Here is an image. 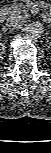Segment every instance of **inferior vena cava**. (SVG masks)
Returning <instances> with one entry per match:
<instances>
[{
    "label": "inferior vena cava",
    "mask_w": 51,
    "mask_h": 153,
    "mask_svg": "<svg viewBox=\"0 0 51 153\" xmlns=\"http://www.w3.org/2000/svg\"><path fill=\"white\" fill-rule=\"evenodd\" d=\"M26 23V20L22 16H10L7 19V25L12 28H21Z\"/></svg>",
    "instance_id": "1"
}]
</instances>
